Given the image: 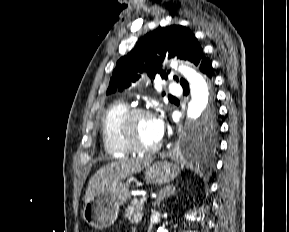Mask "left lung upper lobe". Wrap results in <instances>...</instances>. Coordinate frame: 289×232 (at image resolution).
<instances>
[{
  "instance_id": "left-lung-upper-lobe-1",
  "label": "left lung upper lobe",
  "mask_w": 289,
  "mask_h": 232,
  "mask_svg": "<svg viewBox=\"0 0 289 232\" xmlns=\"http://www.w3.org/2000/svg\"><path fill=\"white\" fill-rule=\"evenodd\" d=\"M168 54L169 58L177 56L199 66L204 57L203 50L195 35L186 27L171 25L156 29L146 34L134 50L121 57L113 70L106 94L128 89L140 78V73L146 71L150 78L158 74L167 79L168 72L160 68L162 60ZM184 84V79L178 80ZM164 95V93H163ZM217 121L213 113L203 119L190 135V144L203 151L214 150L217 143Z\"/></svg>"
}]
</instances>
